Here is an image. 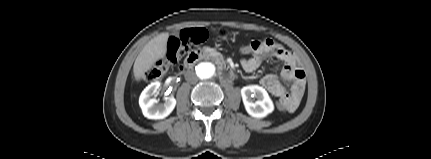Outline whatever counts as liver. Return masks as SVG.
Instances as JSON below:
<instances>
[{
    "label": "liver",
    "instance_id": "obj_1",
    "mask_svg": "<svg viewBox=\"0 0 431 159\" xmlns=\"http://www.w3.org/2000/svg\"><path fill=\"white\" fill-rule=\"evenodd\" d=\"M169 33H161L151 39L138 54L134 66L133 73L136 80H140L146 71L154 64L164 58L167 52V41Z\"/></svg>",
    "mask_w": 431,
    "mask_h": 159
}]
</instances>
